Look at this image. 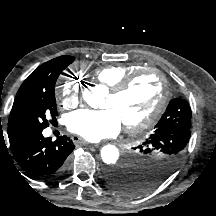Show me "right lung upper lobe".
<instances>
[{"label":"right lung upper lobe","instance_id":"cb5924a9","mask_svg":"<svg viewBox=\"0 0 216 216\" xmlns=\"http://www.w3.org/2000/svg\"><path fill=\"white\" fill-rule=\"evenodd\" d=\"M67 59H74V57L60 56L40 65L37 69H35L18 90L11 113L15 111L17 105L22 101L27 91H29L34 86L51 79L54 75L57 63Z\"/></svg>","mask_w":216,"mask_h":216}]
</instances>
